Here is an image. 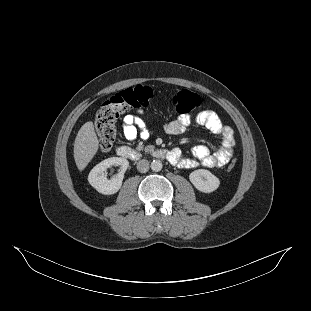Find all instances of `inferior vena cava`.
<instances>
[{
  "label": "inferior vena cava",
  "mask_w": 311,
  "mask_h": 311,
  "mask_svg": "<svg viewBox=\"0 0 311 311\" xmlns=\"http://www.w3.org/2000/svg\"><path fill=\"white\" fill-rule=\"evenodd\" d=\"M149 161L146 159H142L137 163V170L141 173H145L149 170Z\"/></svg>",
  "instance_id": "1"
}]
</instances>
